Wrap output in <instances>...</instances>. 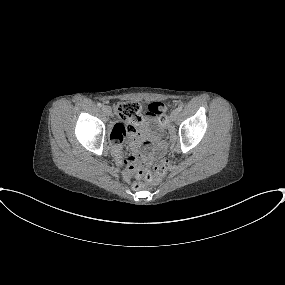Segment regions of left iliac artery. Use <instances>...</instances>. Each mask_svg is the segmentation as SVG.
Masks as SVG:
<instances>
[{"label": "left iliac artery", "instance_id": "44dca946", "mask_svg": "<svg viewBox=\"0 0 285 285\" xmlns=\"http://www.w3.org/2000/svg\"><path fill=\"white\" fill-rule=\"evenodd\" d=\"M182 109H183V105L180 104V105L177 107V110L180 112V111H182Z\"/></svg>", "mask_w": 285, "mask_h": 285}]
</instances>
